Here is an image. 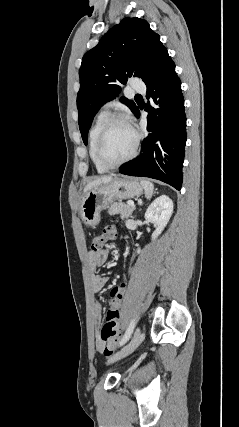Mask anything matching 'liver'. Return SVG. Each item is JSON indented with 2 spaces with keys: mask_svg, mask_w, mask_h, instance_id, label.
Masks as SVG:
<instances>
[{
  "mask_svg": "<svg viewBox=\"0 0 239 427\" xmlns=\"http://www.w3.org/2000/svg\"><path fill=\"white\" fill-rule=\"evenodd\" d=\"M113 178L112 176H103L101 178H98L96 180H93L91 182H89L85 187H84V194L87 193L89 190L98 187L102 184L107 185L110 184L112 182Z\"/></svg>",
  "mask_w": 239,
  "mask_h": 427,
  "instance_id": "6515ba94",
  "label": "liver"
}]
</instances>
